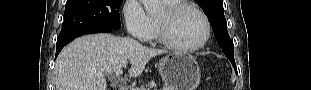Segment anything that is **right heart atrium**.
Here are the masks:
<instances>
[{"instance_id":"obj_1","label":"right heart atrium","mask_w":311,"mask_h":90,"mask_svg":"<svg viewBox=\"0 0 311 90\" xmlns=\"http://www.w3.org/2000/svg\"><path fill=\"white\" fill-rule=\"evenodd\" d=\"M123 16L126 29L130 35L140 41L150 39L152 21L139 0H127L124 5Z\"/></svg>"}]
</instances>
